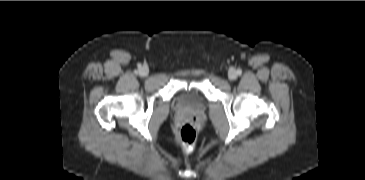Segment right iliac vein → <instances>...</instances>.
<instances>
[{
	"label": "right iliac vein",
	"instance_id": "1",
	"mask_svg": "<svg viewBox=\"0 0 365 180\" xmlns=\"http://www.w3.org/2000/svg\"><path fill=\"white\" fill-rule=\"evenodd\" d=\"M140 74H141L142 76H147V75L149 74V70H148V68H147V67H142V68L140 69Z\"/></svg>",
	"mask_w": 365,
	"mask_h": 180
}]
</instances>
